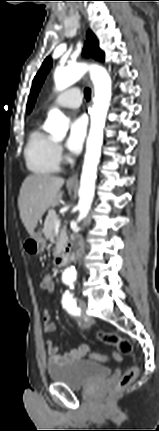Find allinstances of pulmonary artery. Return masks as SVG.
<instances>
[{"label": "pulmonary artery", "mask_w": 159, "mask_h": 431, "mask_svg": "<svg viewBox=\"0 0 159 431\" xmlns=\"http://www.w3.org/2000/svg\"><path fill=\"white\" fill-rule=\"evenodd\" d=\"M82 103V93L78 87L69 88L57 95L49 104L50 107L78 108Z\"/></svg>", "instance_id": "e3ab8cb5"}]
</instances>
